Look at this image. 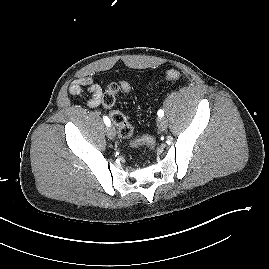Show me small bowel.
<instances>
[{
	"label": "small bowel",
	"mask_w": 269,
	"mask_h": 269,
	"mask_svg": "<svg viewBox=\"0 0 269 269\" xmlns=\"http://www.w3.org/2000/svg\"><path fill=\"white\" fill-rule=\"evenodd\" d=\"M89 93L90 98L87 102L88 106L95 108L101 104L103 91L102 88L94 83L91 77H81L74 80L69 86V94L72 96H80Z\"/></svg>",
	"instance_id": "obj_1"
}]
</instances>
